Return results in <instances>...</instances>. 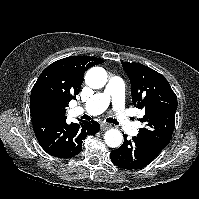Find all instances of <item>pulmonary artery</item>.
Segmentation results:
<instances>
[{
	"label": "pulmonary artery",
	"mask_w": 199,
	"mask_h": 199,
	"mask_svg": "<svg viewBox=\"0 0 199 199\" xmlns=\"http://www.w3.org/2000/svg\"><path fill=\"white\" fill-rule=\"evenodd\" d=\"M109 104L116 120L130 134H136L137 128L131 122L124 108V82L118 76H112L103 92L93 95L84 104L77 106L74 110L76 113H88L98 115L102 113Z\"/></svg>",
	"instance_id": "obj_1"
}]
</instances>
